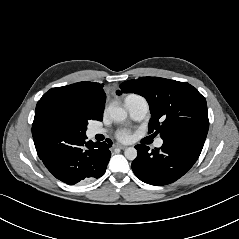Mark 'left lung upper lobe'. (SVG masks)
Masks as SVG:
<instances>
[{
	"label": "left lung upper lobe",
	"mask_w": 239,
	"mask_h": 239,
	"mask_svg": "<svg viewBox=\"0 0 239 239\" xmlns=\"http://www.w3.org/2000/svg\"><path fill=\"white\" fill-rule=\"evenodd\" d=\"M117 94L137 93L149 103V133L202 150L209 120L205 98L187 82L160 77H141L120 85Z\"/></svg>",
	"instance_id": "obj_1"
}]
</instances>
